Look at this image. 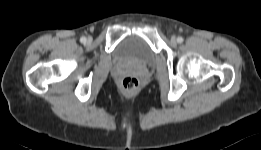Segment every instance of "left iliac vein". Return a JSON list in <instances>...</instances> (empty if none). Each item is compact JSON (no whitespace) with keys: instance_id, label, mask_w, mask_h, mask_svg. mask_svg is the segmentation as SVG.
Segmentation results:
<instances>
[{"instance_id":"left-iliac-vein-1","label":"left iliac vein","mask_w":261,"mask_h":150,"mask_svg":"<svg viewBox=\"0 0 261 150\" xmlns=\"http://www.w3.org/2000/svg\"><path fill=\"white\" fill-rule=\"evenodd\" d=\"M171 42H172L173 44H175V43L177 42L176 37L172 36V37H171Z\"/></svg>"}]
</instances>
